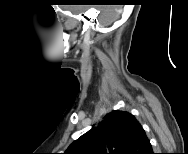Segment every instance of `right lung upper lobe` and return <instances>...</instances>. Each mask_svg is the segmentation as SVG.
I'll list each match as a JSON object with an SVG mask.
<instances>
[{
	"label": "right lung upper lobe",
	"mask_w": 188,
	"mask_h": 154,
	"mask_svg": "<svg viewBox=\"0 0 188 154\" xmlns=\"http://www.w3.org/2000/svg\"><path fill=\"white\" fill-rule=\"evenodd\" d=\"M152 149L134 115L114 110L75 140L64 154H146Z\"/></svg>",
	"instance_id": "1"
}]
</instances>
